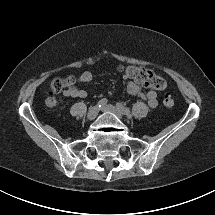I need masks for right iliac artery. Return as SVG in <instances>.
I'll return each instance as SVG.
<instances>
[{
  "label": "right iliac artery",
  "mask_w": 215,
  "mask_h": 215,
  "mask_svg": "<svg viewBox=\"0 0 215 215\" xmlns=\"http://www.w3.org/2000/svg\"><path fill=\"white\" fill-rule=\"evenodd\" d=\"M108 100L106 98H103L101 100L98 101L97 103V106L100 108V107H103L107 104Z\"/></svg>",
  "instance_id": "obj_1"
}]
</instances>
